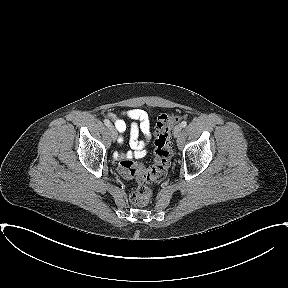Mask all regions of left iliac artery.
Returning a JSON list of instances; mask_svg holds the SVG:
<instances>
[{
    "label": "left iliac artery",
    "instance_id": "44dca946",
    "mask_svg": "<svg viewBox=\"0 0 288 288\" xmlns=\"http://www.w3.org/2000/svg\"><path fill=\"white\" fill-rule=\"evenodd\" d=\"M181 126L184 128V127H186L187 126V122L186 121H182L181 122Z\"/></svg>",
    "mask_w": 288,
    "mask_h": 288
}]
</instances>
